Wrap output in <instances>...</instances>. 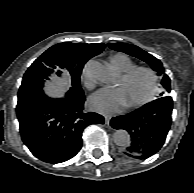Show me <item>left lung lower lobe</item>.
<instances>
[{
  "label": "left lung lower lobe",
  "mask_w": 194,
  "mask_h": 193,
  "mask_svg": "<svg viewBox=\"0 0 194 193\" xmlns=\"http://www.w3.org/2000/svg\"><path fill=\"white\" fill-rule=\"evenodd\" d=\"M172 109V98L163 96L129 114L112 118L113 128L124 129L131 135L132 143L124 153L137 159L155 154L170 129Z\"/></svg>",
  "instance_id": "left-lung-lower-lobe-1"
}]
</instances>
